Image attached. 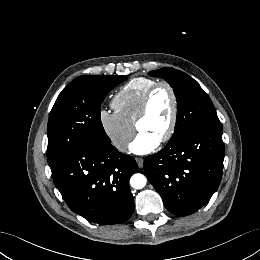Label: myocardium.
Wrapping results in <instances>:
<instances>
[{"label": "myocardium", "mask_w": 260, "mask_h": 260, "mask_svg": "<svg viewBox=\"0 0 260 260\" xmlns=\"http://www.w3.org/2000/svg\"><path fill=\"white\" fill-rule=\"evenodd\" d=\"M160 88H166L169 91L171 98H172V113H171L169 127H168L166 133L163 135V137L159 141L160 143H165V142L169 141L175 133V130L177 127V121H178V114H179V101H178L177 93H176L174 87L171 84H169L168 82H166V81L156 82L146 91V93L143 96V99L141 101L138 113L136 115L134 125H135L136 130L138 131L139 123L141 122L142 119L145 118V116L148 113V109H149V105H150L152 96Z\"/></svg>", "instance_id": "f54148a6"}]
</instances>
